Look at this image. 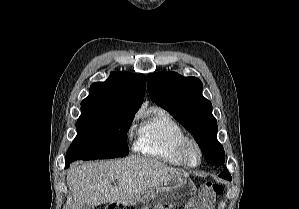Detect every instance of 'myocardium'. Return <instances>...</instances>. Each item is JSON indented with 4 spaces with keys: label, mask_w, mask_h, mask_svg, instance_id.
I'll list each match as a JSON object with an SVG mask.
<instances>
[{
    "label": "myocardium",
    "mask_w": 299,
    "mask_h": 209,
    "mask_svg": "<svg viewBox=\"0 0 299 209\" xmlns=\"http://www.w3.org/2000/svg\"><path fill=\"white\" fill-rule=\"evenodd\" d=\"M191 147H195L199 154V161L196 164H192L188 160V151ZM178 157L184 167L198 168L201 166L204 160V151L201 144L194 138L186 137L178 147Z\"/></svg>",
    "instance_id": "myocardium-1"
}]
</instances>
